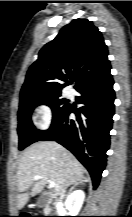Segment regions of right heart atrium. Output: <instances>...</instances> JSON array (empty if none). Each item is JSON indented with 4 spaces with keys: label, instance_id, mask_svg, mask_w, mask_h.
<instances>
[{
    "label": "right heart atrium",
    "instance_id": "obj_1",
    "mask_svg": "<svg viewBox=\"0 0 132 217\" xmlns=\"http://www.w3.org/2000/svg\"><path fill=\"white\" fill-rule=\"evenodd\" d=\"M37 126L45 130L50 127L53 120V111L48 104H39L36 107Z\"/></svg>",
    "mask_w": 132,
    "mask_h": 217
}]
</instances>
